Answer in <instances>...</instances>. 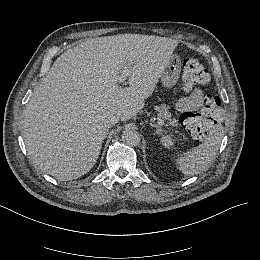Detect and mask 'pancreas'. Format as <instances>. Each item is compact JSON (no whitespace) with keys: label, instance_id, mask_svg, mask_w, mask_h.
<instances>
[{"label":"pancreas","instance_id":"1","mask_svg":"<svg viewBox=\"0 0 260 260\" xmlns=\"http://www.w3.org/2000/svg\"><path fill=\"white\" fill-rule=\"evenodd\" d=\"M170 107L166 104H161L159 107H157L158 110V116L164 120L168 121V125L177 127L179 125L178 120L175 118H172V114L169 111Z\"/></svg>","mask_w":260,"mask_h":260}]
</instances>
